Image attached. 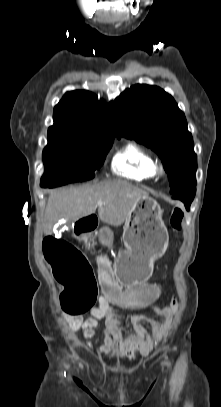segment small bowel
I'll use <instances>...</instances> for the list:
<instances>
[{"mask_svg": "<svg viewBox=\"0 0 221 407\" xmlns=\"http://www.w3.org/2000/svg\"><path fill=\"white\" fill-rule=\"evenodd\" d=\"M178 303L174 298L170 306L163 309H155L158 318H145L140 314H134L125 320L115 312L113 306L105 296L98 298V304L91 310L88 318L82 316H69L68 323L73 330H83L85 337L91 338L97 327L98 320L105 319L104 343L100 351L106 355H118L124 358H134L137 354L147 355L155 344L162 341L172 323ZM146 321L150 325L151 333L142 325ZM122 326H128L133 334L123 337Z\"/></svg>", "mask_w": 221, "mask_h": 407, "instance_id": "1", "label": "small bowel"}]
</instances>
